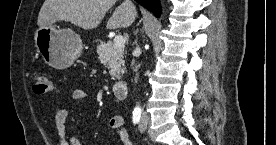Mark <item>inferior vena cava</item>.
<instances>
[{
  "instance_id": "inferior-vena-cava-1",
  "label": "inferior vena cava",
  "mask_w": 276,
  "mask_h": 145,
  "mask_svg": "<svg viewBox=\"0 0 276 145\" xmlns=\"http://www.w3.org/2000/svg\"><path fill=\"white\" fill-rule=\"evenodd\" d=\"M125 4H127L130 7H134V5L132 4V2L130 0H125ZM136 52L138 54H140V48L139 47L136 48Z\"/></svg>"
}]
</instances>
